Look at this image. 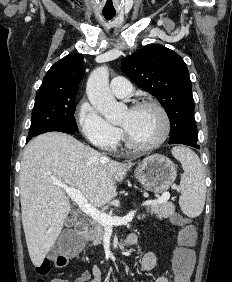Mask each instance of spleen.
Instances as JSON below:
<instances>
[{"instance_id": "spleen-1", "label": "spleen", "mask_w": 232, "mask_h": 282, "mask_svg": "<svg viewBox=\"0 0 232 282\" xmlns=\"http://www.w3.org/2000/svg\"><path fill=\"white\" fill-rule=\"evenodd\" d=\"M184 170L181 177V197L179 204L185 215L191 218L199 216L205 205L206 185L204 167L199 157L191 149L177 146L172 149Z\"/></svg>"}]
</instances>
